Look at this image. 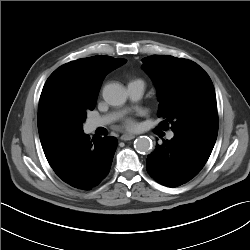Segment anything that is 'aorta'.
Here are the masks:
<instances>
[{"label":"aorta","instance_id":"aorta-1","mask_svg":"<svg viewBox=\"0 0 250 250\" xmlns=\"http://www.w3.org/2000/svg\"><path fill=\"white\" fill-rule=\"evenodd\" d=\"M104 100L112 106H120L126 101V91L118 83L107 84L102 92ZM134 148L138 153L145 154L152 149V140L147 136H140L134 141Z\"/></svg>","mask_w":250,"mask_h":250}]
</instances>
